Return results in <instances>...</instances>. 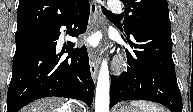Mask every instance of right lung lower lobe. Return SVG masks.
I'll return each mask as SVG.
<instances>
[{"instance_id": "98d812e1", "label": "right lung lower lobe", "mask_w": 193, "mask_h": 112, "mask_svg": "<svg viewBox=\"0 0 193 112\" xmlns=\"http://www.w3.org/2000/svg\"><path fill=\"white\" fill-rule=\"evenodd\" d=\"M89 13L87 1L63 20L16 41L7 112H18L30 102L49 96L75 98L92 104L94 82L85 46L70 49L74 45L70 42L66 47L69 52L66 58L56 53L60 27L74 24L70 35L77 37L86 30Z\"/></svg>"}]
</instances>
